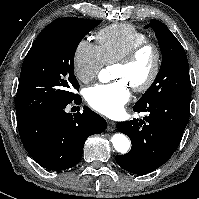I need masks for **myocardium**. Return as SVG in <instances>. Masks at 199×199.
I'll return each mask as SVG.
<instances>
[{"instance_id":"myocardium-1","label":"myocardium","mask_w":199,"mask_h":199,"mask_svg":"<svg viewBox=\"0 0 199 199\" xmlns=\"http://www.w3.org/2000/svg\"><path fill=\"white\" fill-rule=\"evenodd\" d=\"M150 51L153 54V65L150 74L146 80L138 85H133L132 89L138 93L148 91L156 82L162 62V54L160 48L152 41H145L133 46L128 52L114 62L115 65L129 66L131 65L143 52Z\"/></svg>"}]
</instances>
